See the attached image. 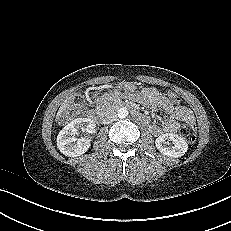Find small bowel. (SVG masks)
Returning <instances> with one entry per match:
<instances>
[{
  "instance_id": "small-bowel-1",
  "label": "small bowel",
  "mask_w": 231,
  "mask_h": 231,
  "mask_svg": "<svg viewBox=\"0 0 231 231\" xmlns=\"http://www.w3.org/2000/svg\"><path fill=\"white\" fill-rule=\"evenodd\" d=\"M107 95L98 98V102L105 99ZM132 98L150 109H163L168 116L160 122H152L148 117L143 116V122L149 125L150 130L155 135L174 132L178 129L180 122L194 123V115L192 111L181 104L171 103L156 88H144L138 93L132 95Z\"/></svg>"
}]
</instances>
